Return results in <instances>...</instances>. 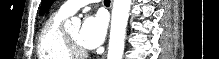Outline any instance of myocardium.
Returning a JSON list of instances; mask_svg holds the SVG:
<instances>
[{
    "label": "myocardium",
    "instance_id": "1",
    "mask_svg": "<svg viewBox=\"0 0 219 59\" xmlns=\"http://www.w3.org/2000/svg\"><path fill=\"white\" fill-rule=\"evenodd\" d=\"M64 38L68 51L71 53L73 57H84L88 55V50L80 46L76 43L68 34L67 31L64 30Z\"/></svg>",
    "mask_w": 219,
    "mask_h": 59
}]
</instances>
